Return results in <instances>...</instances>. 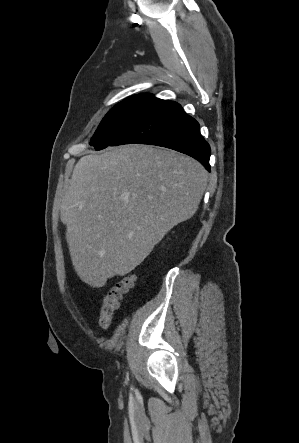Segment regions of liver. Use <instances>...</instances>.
Returning a JSON list of instances; mask_svg holds the SVG:
<instances>
[{
  "label": "liver",
  "instance_id": "liver-1",
  "mask_svg": "<svg viewBox=\"0 0 299 443\" xmlns=\"http://www.w3.org/2000/svg\"><path fill=\"white\" fill-rule=\"evenodd\" d=\"M208 173L174 150L125 145L83 156L61 202V221L78 277L103 287L150 254L198 209Z\"/></svg>",
  "mask_w": 299,
  "mask_h": 443
}]
</instances>
